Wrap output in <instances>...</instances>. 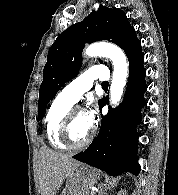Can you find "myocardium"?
<instances>
[{
  "label": "myocardium",
  "mask_w": 178,
  "mask_h": 195,
  "mask_svg": "<svg viewBox=\"0 0 178 195\" xmlns=\"http://www.w3.org/2000/svg\"><path fill=\"white\" fill-rule=\"evenodd\" d=\"M84 113V110L81 109V108H71L67 114L65 115L63 121H62V124H61V127H60V131H59V138H60V141L69 149H72V150H80V149H83L85 147H87L91 142L92 140L94 139L95 137V128L92 127V131L89 135V137L82 143L80 144H74L71 139H70V128H71V125H72V122H73V119L75 117V115L77 113Z\"/></svg>",
  "instance_id": "1"
}]
</instances>
